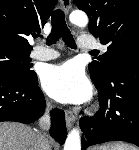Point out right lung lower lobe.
<instances>
[{
  "instance_id": "right-lung-lower-lobe-1",
  "label": "right lung lower lobe",
  "mask_w": 139,
  "mask_h": 150,
  "mask_svg": "<svg viewBox=\"0 0 139 150\" xmlns=\"http://www.w3.org/2000/svg\"><path fill=\"white\" fill-rule=\"evenodd\" d=\"M37 84V77L28 81L0 74V122L30 123L43 114L45 99ZM51 116L50 134L62 145L67 135L65 114L54 109Z\"/></svg>"
}]
</instances>
